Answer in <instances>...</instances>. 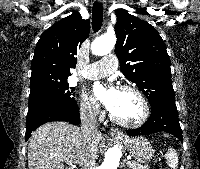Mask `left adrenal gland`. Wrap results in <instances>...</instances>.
<instances>
[{"mask_svg": "<svg viewBox=\"0 0 200 169\" xmlns=\"http://www.w3.org/2000/svg\"><path fill=\"white\" fill-rule=\"evenodd\" d=\"M126 166V160H124L123 164H122V168Z\"/></svg>", "mask_w": 200, "mask_h": 169, "instance_id": "a2214340", "label": "left adrenal gland"}]
</instances>
